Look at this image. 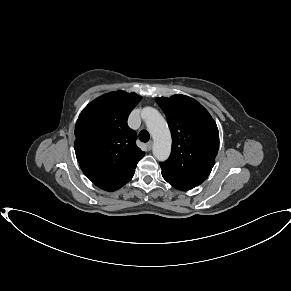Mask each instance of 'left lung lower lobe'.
Masks as SVG:
<instances>
[{
	"label": "left lung lower lobe",
	"mask_w": 291,
	"mask_h": 291,
	"mask_svg": "<svg viewBox=\"0 0 291 291\" xmlns=\"http://www.w3.org/2000/svg\"><path fill=\"white\" fill-rule=\"evenodd\" d=\"M162 176L170 185H172L173 187H175L178 190L187 191V190L194 188L192 186H189L187 184L179 182L175 179H172L171 177H169L167 175L162 174Z\"/></svg>",
	"instance_id": "obj_1"
}]
</instances>
